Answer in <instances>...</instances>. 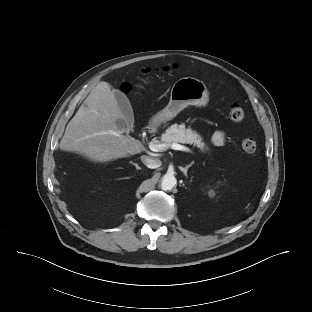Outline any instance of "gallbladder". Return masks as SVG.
<instances>
[{"instance_id": "obj_1", "label": "gallbladder", "mask_w": 312, "mask_h": 312, "mask_svg": "<svg viewBox=\"0 0 312 312\" xmlns=\"http://www.w3.org/2000/svg\"><path fill=\"white\" fill-rule=\"evenodd\" d=\"M115 97L118 102V107L122 114L125 117V120L127 121V130L126 132H133V122H134V117H133V110L130 104V101L128 100L127 96L121 92V91H115ZM117 124L119 126L124 125V121L118 120Z\"/></svg>"}]
</instances>
